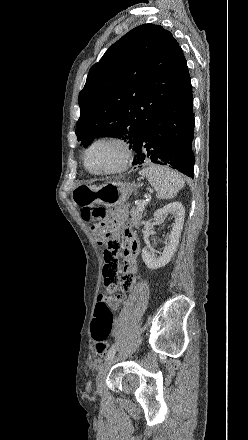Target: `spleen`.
I'll use <instances>...</instances> for the list:
<instances>
[{
    "label": "spleen",
    "instance_id": "3e777b00",
    "mask_svg": "<svg viewBox=\"0 0 248 440\" xmlns=\"http://www.w3.org/2000/svg\"><path fill=\"white\" fill-rule=\"evenodd\" d=\"M139 174L148 179L158 199L173 198L185 185L183 178L169 167L150 165Z\"/></svg>",
    "mask_w": 248,
    "mask_h": 440
}]
</instances>
